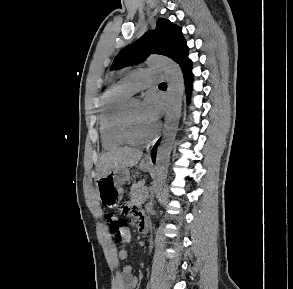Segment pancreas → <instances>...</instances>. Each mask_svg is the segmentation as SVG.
<instances>
[{
  "mask_svg": "<svg viewBox=\"0 0 293 289\" xmlns=\"http://www.w3.org/2000/svg\"><path fill=\"white\" fill-rule=\"evenodd\" d=\"M130 195L132 200L144 201L148 196V191L146 187H144V182L140 181L138 183H134L131 187Z\"/></svg>",
  "mask_w": 293,
  "mask_h": 289,
  "instance_id": "pancreas-1",
  "label": "pancreas"
}]
</instances>
